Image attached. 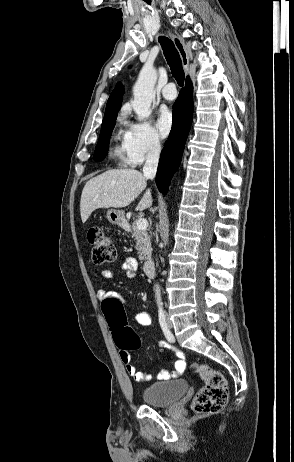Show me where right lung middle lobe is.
I'll return each mask as SVG.
<instances>
[{
    "mask_svg": "<svg viewBox=\"0 0 294 462\" xmlns=\"http://www.w3.org/2000/svg\"><path fill=\"white\" fill-rule=\"evenodd\" d=\"M117 115H111L104 117L101 132L98 140V144L95 148L94 159L96 161H101L104 159V153L108 151L109 140L107 139L108 135L112 132L115 120Z\"/></svg>",
    "mask_w": 294,
    "mask_h": 462,
    "instance_id": "obj_1",
    "label": "right lung middle lobe"
}]
</instances>
